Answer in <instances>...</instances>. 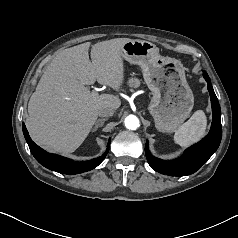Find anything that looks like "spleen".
Here are the masks:
<instances>
[{
  "instance_id": "3e777b00",
  "label": "spleen",
  "mask_w": 238,
  "mask_h": 238,
  "mask_svg": "<svg viewBox=\"0 0 238 238\" xmlns=\"http://www.w3.org/2000/svg\"><path fill=\"white\" fill-rule=\"evenodd\" d=\"M207 118L202 110H197L174 134V141L182 147L199 141L206 133Z\"/></svg>"
}]
</instances>
